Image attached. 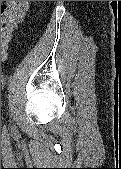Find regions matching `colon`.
Returning <instances> with one entry per match:
<instances>
[{"label":"colon","instance_id":"1","mask_svg":"<svg viewBox=\"0 0 121 169\" xmlns=\"http://www.w3.org/2000/svg\"><path fill=\"white\" fill-rule=\"evenodd\" d=\"M28 1H3L1 7V57L6 58L7 50L14 33L22 22L27 10Z\"/></svg>","mask_w":121,"mask_h":169}]
</instances>
